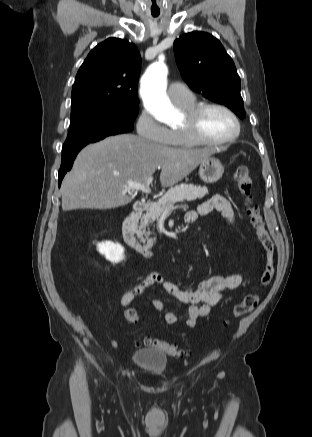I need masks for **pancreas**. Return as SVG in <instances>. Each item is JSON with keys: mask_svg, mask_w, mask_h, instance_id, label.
Returning a JSON list of instances; mask_svg holds the SVG:
<instances>
[{"mask_svg": "<svg viewBox=\"0 0 312 437\" xmlns=\"http://www.w3.org/2000/svg\"><path fill=\"white\" fill-rule=\"evenodd\" d=\"M208 194V189L203 186H195L193 184H180L173 188H170L165 195H163L158 201L151 203L145 215L142 216L139 226L138 237L141 241L149 245H153L156 242V238H149L150 231L149 225L154 221H158L159 217L169 206H174L177 202L194 201L196 199L203 198Z\"/></svg>", "mask_w": 312, "mask_h": 437, "instance_id": "1", "label": "pancreas"}]
</instances>
